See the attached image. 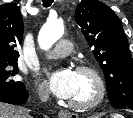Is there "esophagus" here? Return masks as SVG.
Here are the masks:
<instances>
[{"mask_svg":"<svg viewBox=\"0 0 133 118\" xmlns=\"http://www.w3.org/2000/svg\"><path fill=\"white\" fill-rule=\"evenodd\" d=\"M59 117L60 118H78L77 114L71 113L67 110H61L59 112Z\"/></svg>","mask_w":133,"mask_h":118,"instance_id":"obj_1","label":"esophagus"}]
</instances>
